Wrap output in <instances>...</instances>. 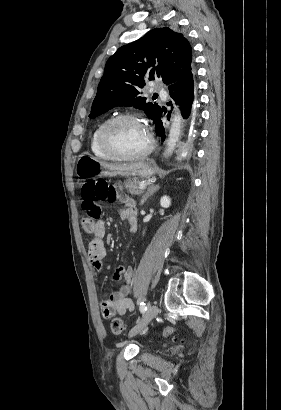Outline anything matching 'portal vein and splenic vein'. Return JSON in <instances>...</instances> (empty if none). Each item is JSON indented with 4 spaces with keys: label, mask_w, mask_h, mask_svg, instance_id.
Instances as JSON below:
<instances>
[{
    "label": "portal vein and splenic vein",
    "mask_w": 281,
    "mask_h": 410,
    "mask_svg": "<svg viewBox=\"0 0 281 410\" xmlns=\"http://www.w3.org/2000/svg\"><path fill=\"white\" fill-rule=\"evenodd\" d=\"M146 187H147V185L144 184V183H141V184L139 185V189H141V190H144Z\"/></svg>",
    "instance_id": "portal-vein-and-splenic-vein-1"
}]
</instances>
